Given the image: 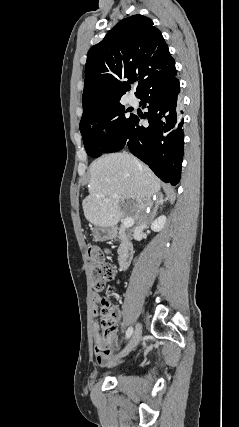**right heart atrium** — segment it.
<instances>
[{
	"instance_id": "1",
	"label": "right heart atrium",
	"mask_w": 239,
	"mask_h": 427,
	"mask_svg": "<svg viewBox=\"0 0 239 427\" xmlns=\"http://www.w3.org/2000/svg\"><path fill=\"white\" fill-rule=\"evenodd\" d=\"M104 131H105L107 134H111V133H112V125H111V123H110V122H108V123L105 125V127H104Z\"/></svg>"
}]
</instances>
